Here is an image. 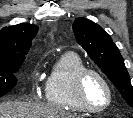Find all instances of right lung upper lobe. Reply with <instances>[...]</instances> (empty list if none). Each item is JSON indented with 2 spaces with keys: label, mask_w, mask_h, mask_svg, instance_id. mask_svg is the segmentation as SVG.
<instances>
[{
  "label": "right lung upper lobe",
  "mask_w": 133,
  "mask_h": 118,
  "mask_svg": "<svg viewBox=\"0 0 133 118\" xmlns=\"http://www.w3.org/2000/svg\"><path fill=\"white\" fill-rule=\"evenodd\" d=\"M38 26L21 23L0 31V64L23 62Z\"/></svg>",
  "instance_id": "cb5924a9"
}]
</instances>
